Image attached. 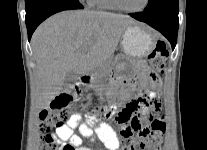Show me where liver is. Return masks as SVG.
Returning <instances> with one entry per match:
<instances>
[{
  "label": "liver",
  "mask_w": 207,
  "mask_h": 150,
  "mask_svg": "<svg viewBox=\"0 0 207 150\" xmlns=\"http://www.w3.org/2000/svg\"><path fill=\"white\" fill-rule=\"evenodd\" d=\"M137 22L124 15L69 10L44 21L31 40L37 66L35 105L49 106L68 72L87 75L114 53L127 27Z\"/></svg>",
  "instance_id": "liver-1"
}]
</instances>
